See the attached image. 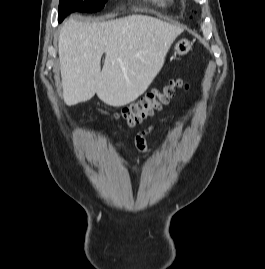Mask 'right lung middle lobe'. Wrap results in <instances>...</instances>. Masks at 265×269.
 Returning a JSON list of instances; mask_svg holds the SVG:
<instances>
[{
  "mask_svg": "<svg viewBox=\"0 0 265 269\" xmlns=\"http://www.w3.org/2000/svg\"><path fill=\"white\" fill-rule=\"evenodd\" d=\"M108 0H60L59 21L74 11L96 12L102 9Z\"/></svg>",
  "mask_w": 265,
  "mask_h": 269,
  "instance_id": "1",
  "label": "right lung middle lobe"
}]
</instances>
